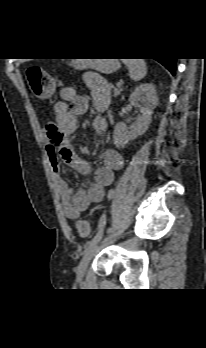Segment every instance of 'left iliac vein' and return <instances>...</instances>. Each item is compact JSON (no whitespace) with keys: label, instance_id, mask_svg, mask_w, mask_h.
<instances>
[{"label":"left iliac vein","instance_id":"left-iliac-vein-1","mask_svg":"<svg viewBox=\"0 0 206 348\" xmlns=\"http://www.w3.org/2000/svg\"><path fill=\"white\" fill-rule=\"evenodd\" d=\"M99 241L91 243L90 245L86 247L84 255L77 267V277L79 279H82L84 277L87 266L98 249Z\"/></svg>","mask_w":206,"mask_h":348}]
</instances>
